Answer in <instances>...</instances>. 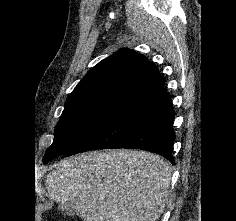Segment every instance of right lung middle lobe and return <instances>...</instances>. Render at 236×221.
Masks as SVG:
<instances>
[{
	"label": "right lung middle lobe",
	"mask_w": 236,
	"mask_h": 221,
	"mask_svg": "<svg viewBox=\"0 0 236 221\" xmlns=\"http://www.w3.org/2000/svg\"><path fill=\"white\" fill-rule=\"evenodd\" d=\"M134 94L129 91L95 92L66 102L53 144L47 149L43 162L68 152Z\"/></svg>",
	"instance_id": "dd1d6c3e"
}]
</instances>
